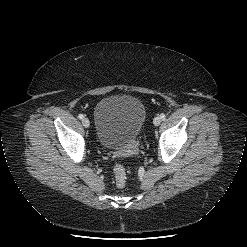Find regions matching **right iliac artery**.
<instances>
[{
  "mask_svg": "<svg viewBox=\"0 0 247 247\" xmlns=\"http://www.w3.org/2000/svg\"><path fill=\"white\" fill-rule=\"evenodd\" d=\"M78 118H79V119H83L84 116H83L82 114H79V115H78Z\"/></svg>",
  "mask_w": 247,
  "mask_h": 247,
  "instance_id": "82829eb1",
  "label": "right iliac artery"
}]
</instances>
